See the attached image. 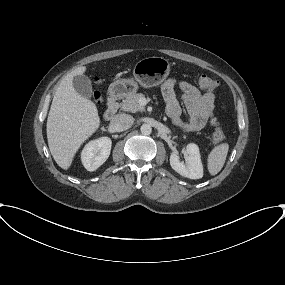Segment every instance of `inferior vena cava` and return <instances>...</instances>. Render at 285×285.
I'll return each mask as SVG.
<instances>
[{
	"label": "inferior vena cava",
	"instance_id": "obj_1",
	"mask_svg": "<svg viewBox=\"0 0 285 285\" xmlns=\"http://www.w3.org/2000/svg\"><path fill=\"white\" fill-rule=\"evenodd\" d=\"M134 123V118L125 113L117 114L110 122V127L115 132L129 129Z\"/></svg>",
	"mask_w": 285,
	"mask_h": 285
}]
</instances>
